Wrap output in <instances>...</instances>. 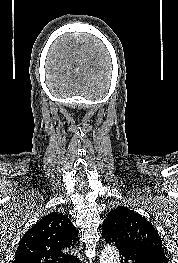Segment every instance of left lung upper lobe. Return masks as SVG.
<instances>
[{"instance_id":"1","label":"left lung upper lobe","mask_w":178,"mask_h":263,"mask_svg":"<svg viewBox=\"0 0 178 263\" xmlns=\"http://www.w3.org/2000/svg\"><path fill=\"white\" fill-rule=\"evenodd\" d=\"M102 230H109L116 237L163 251L162 240L154 226L134 211L118 206L111 210L102 225Z\"/></svg>"}]
</instances>
